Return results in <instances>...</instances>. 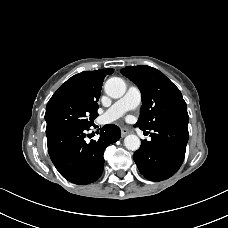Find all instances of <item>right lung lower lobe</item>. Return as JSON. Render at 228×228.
<instances>
[{
  "instance_id": "obj_1",
  "label": "right lung lower lobe",
  "mask_w": 228,
  "mask_h": 228,
  "mask_svg": "<svg viewBox=\"0 0 228 228\" xmlns=\"http://www.w3.org/2000/svg\"><path fill=\"white\" fill-rule=\"evenodd\" d=\"M89 127H71L47 136L48 152L59 173L68 181L85 185L103 172L104 149L120 139V128L105 125L98 141H85Z\"/></svg>"
}]
</instances>
